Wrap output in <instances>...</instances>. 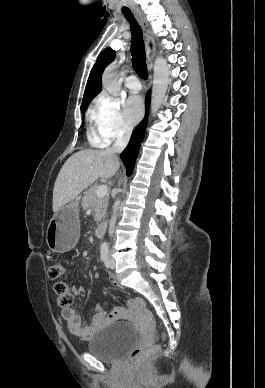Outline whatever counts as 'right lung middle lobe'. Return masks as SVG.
<instances>
[{
    "mask_svg": "<svg viewBox=\"0 0 265 388\" xmlns=\"http://www.w3.org/2000/svg\"><path fill=\"white\" fill-rule=\"evenodd\" d=\"M91 101H89L88 103L84 104L81 106V111L82 113L84 114L85 110L87 109L88 105L90 104Z\"/></svg>",
    "mask_w": 265,
    "mask_h": 388,
    "instance_id": "dd1d6c3e",
    "label": "right lung middle lobe"
}]
</instances>
